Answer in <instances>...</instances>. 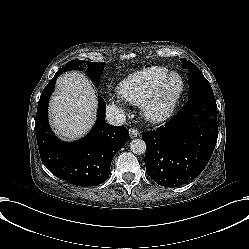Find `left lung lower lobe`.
<instances>
[{
  "mask_svg": "<svg viewBox=\"0 0 249 249\" xmlns=\"http://www.w3.org/2000/svg\"><path fill=\"white\" fill-rule=\"evenodd\" d=\"M218 136L214 95H198L165 126L142 135L147 174L159 185L178 187L206 167Z\"/></svg>",
  "mask_w": 249,
  "mask_h": 249,
  "instance_id": "left-lung-lower-lobe-1",
  "label": "left lung lower lobe"
}]
</instances>
